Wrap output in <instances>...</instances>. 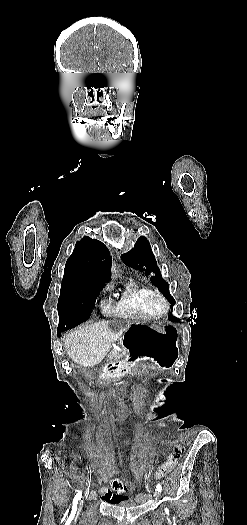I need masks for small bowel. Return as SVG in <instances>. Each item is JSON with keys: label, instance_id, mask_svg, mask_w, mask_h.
Segmentation results:
<instances>
[{"label": "small bowel", "instance_id": "small-bowel-1", "mask_svg": "<svg viewBox=\"0 0 247 525\" xmlns=\"http://www.w3.org/2000/svg\"><path fill=\"white\" fill-rule=\"evenodd\" d=\"M182 451L181 447H178L174 453H172L169 458L157 469L155 472L153 478L159 479L162 476H164L167 472H169L178 462L180 453ZM104 481V478L102 476H99L97 479V484L101 485ZM111 485L114 488L119 487V481L117 478H112ZM104 492L103 498L108 501L110 506H122L125 503V498L122 494L118 493H112L110 490H107L105 488L102 489Z\"/></svg>", "mask_w": 247, "mask_h": 525}]
</instances>
